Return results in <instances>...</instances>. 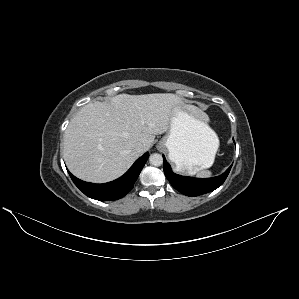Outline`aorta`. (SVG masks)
Segmentation results:
<instances>
[{"label": "aorta", "instance_id": "1", "mask_svg": "<svg viewBox=\"0 0 299 299\" xmlns=\"http://www.w3.org/2000/svg\"><path fill=\"white\" fill-rule=\"evenodd\" d=\"M149 162L153 166H161L163 164V158L160 154L154 153L150 155Z\"/></svg>", "mask_w": 299, "mask_h": 299}]
</instances>
